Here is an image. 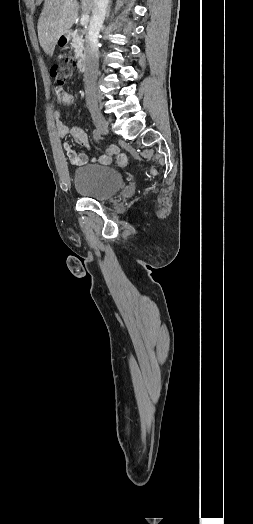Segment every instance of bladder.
<instances>
[{"instance_id": "1", "label": "bladder", "mask_w": 253, "mask_h": 524, "mask_svg": "<svg viewBox=\"0 0 253 524\" xmlns=\"http://www.w3.org/2000/svg\"><path fill=\"white\" fill-rule=\"evenodd\" d=\"M73 184L84 198L106 201L119 193L125 179L115 168L87 165L74 172Z\"/></svg>"}]
</instances>
